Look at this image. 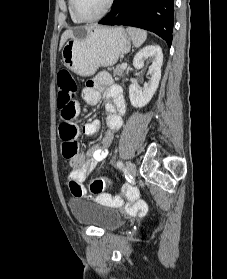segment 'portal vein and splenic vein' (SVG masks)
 <instances>
[{
  "label": "portal vein and splenic vein",
  "instance_id": "1",
  "mask_svg": "<svg viewBox=\"0 0 227 279\" xmlns=\"http://www.w3.org/2000/svg\"><path fill=\"white\" fill-rule=\"evenodd\" d=\"M126 67H127V63H122L121 64V68L124 70V69H126Z\"/></svg>",
  "mask_w": 227,
  "mask_h": 279
}]
</instances>
